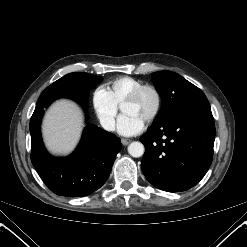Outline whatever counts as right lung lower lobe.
<instances>
[{"instance_id": "obj_1", "label": "right lung lower lobe", "mask_w": 247, "mask_h": 247, "mask_svg": "<svg viewBox=\"0 0 247 247\" xmlns=\"http://www.w3.org/2000/svg\"><path fill=\"white\" fill-rule=\"evenodd\" d=\"M88 93L42 92L30 121L31 161L46 186L55 194L82 197L100 188L110 175L113 162L121 149L115 135L87 125L76 150L66 158L52 157L41 138V119L54 100L70 98L85 103Z\"/></svg>"}]
</instances>
